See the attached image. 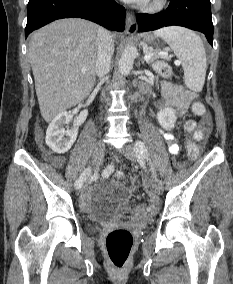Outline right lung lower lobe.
<instances>
[{
	"label": "right lung lower lobe",
	"instance_id": "right-lung-lower-lobe-1",
	"mask_svg": "<svg viewBox=\"0 0 233 284\" xmlns=\"http://www.w3.org/2000/svg\"><path fill=\"white\" fill-rule=\"evenodd\" d=\"M79 17L124 31L125 9L114 0H29L25 35L54 20Z\"/></svg>",
	"mask_w": 233,
	"mask_h": 284
}]
</instances>
